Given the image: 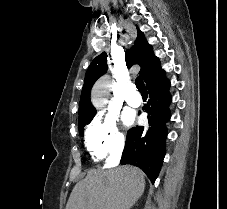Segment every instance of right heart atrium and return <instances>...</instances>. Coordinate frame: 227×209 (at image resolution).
Wrapping results in <instances>:
<instances>
[{
	"instance_id": "1",
	"label": "right heart atrium",
	"mask_w": 227,
	"mask_h": 209,
	"mask_svg": "<svg viewBox=\"0 0 227 209\" xmlns=\"http://www.w3.org/2000/svg\"><path fill=\"white\" fill-rule=\"evenodd\" d=\"M124 137L112 117H96L85 130V146L94 160L119 153Z\"/></svg>"
}]
</instances>
